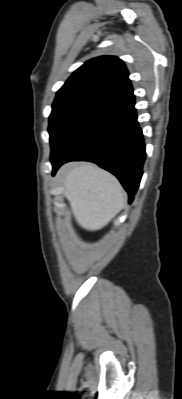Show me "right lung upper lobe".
<instances>
[{"label":"right lung upper lobe","instance_id":"obj_1","mask_svg":"<svg viewBox=\"0 0 182 399\" xmlns=\"http://www.w3.org/2000/svg\"><path fill=\"white\" fill-rule=\"evenodd\" d=\"M128 75L124 62L119 58L96 57L79 67L56 97L84 95L107 103L133 92Z\"/></svg>","mask_w":182,"mask_h":399}]
</instances>
